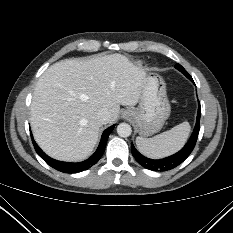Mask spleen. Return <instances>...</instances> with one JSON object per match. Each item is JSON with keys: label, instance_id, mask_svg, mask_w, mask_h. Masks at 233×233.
Masks as SVG:
<instances>
[{"label": "spleen", "instance_id": "obj_1", "mask_svg": "<svg viewBox=\"0 0 233 233\" xmlns=\"http://www.w3.org/2000/svg\"><path fill=\"white\" fill-rule=\"evenodd\" d=\"M190 124L183 122L152 138H136L138 150L152 159H160L179 151L190 134Z\"/></svg>", "mask_w": 233, "mask_h": 233}]
</instances>
